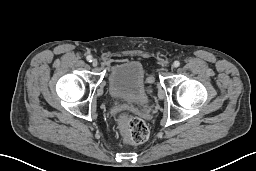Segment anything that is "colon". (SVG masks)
I'll return each mask as SVG.
<instances>
[{"mask_svg":"<svg viewBox=\"0 0 256 171\" xmlns=\"http://www.w3.org/2000/svg\"><path fill=\"white\" fill-rule=\"evenodd\" d=\"M116 123L122 138L127 143L138 144L147 140L149 129L140 118L121 113L117 116Z\"/></svg>","mask_w":256,"mask_h":171,"instance_id":"1","label":"colon"}]
</instances>
